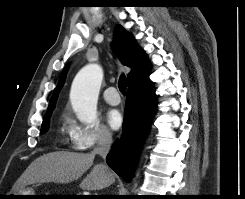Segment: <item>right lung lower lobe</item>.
<instances>
[{
    "mask_svg": "<svg viewBox=\"0 0 245 199\" xmlns=\"http://www.w3.org/2000/svg\"><path fill=\"white\" fill-rule=\"evenodd\" d=\"M156 109L152 82L143 87L128 88L123 134L120 145L116 142L106 161L126 182L132 178L140 145L145 138Z\"/></svg>",
    "mask_w": 245,
    "mask_h": 199,
    "instance_id": "obj_1",
    "label": "right lung lower lobe"
}]
</instances>
